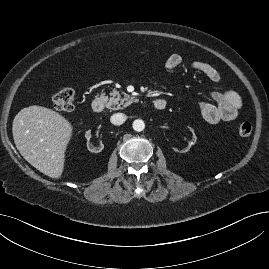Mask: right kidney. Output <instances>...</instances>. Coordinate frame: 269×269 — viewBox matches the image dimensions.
Segmentation results:
<instances>
[{"label": "right kidney", "instance_id": "ca27d5eb", "mask_svg": "<svg viewBox=\"0 0 269 269\" xmlns=\"http://www.w3.org/2000/svg\"><path fill=\"white\" fill-rule=\"evenodd\" d=\"M92 133V130L91 129H88L85 131V144L86 146L88 147V149L91 151V152H95V153H98V152H101L103 150V145H104V142L103 141H100L99 142V145H95L93 143V140L91 139V136L90 134Z\"/></svg>", "mask_w": 269, "mask_h": 269}]
</instances>
